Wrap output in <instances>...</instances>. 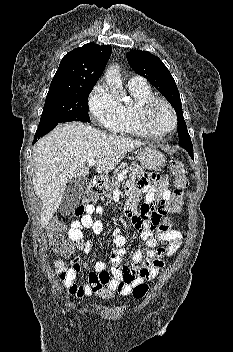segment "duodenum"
<instances>
[{
	"label": "duodenum",
	"mask_w": 233,
	"mask_h": 352,
	"mask_svg": "<svg viewBox=\"0 0 233 352\" xmlns=\"http://www.w3.org/2000/svg\"><path fill=\"white\" fill-rule=\"evenodd\" d=\"M103 190V179L100 177H94L92 180V192L94 194H100Z\"/></svg>",
	"instance_id": "410a0bca"
}]
</instances>
